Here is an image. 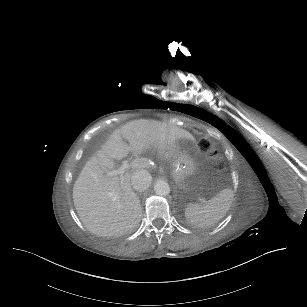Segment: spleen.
<instances>
[{
    "instance_id": "spleen-1",
    "label": "spleen",
    "mask_w": 307,
    "mask_h": 307,
    "mask_svg": "<svg viewBox=\"0 0 307 307\" xmlns=\"http://www.w3.org/2000/svg\"><path fill=\"white\" fill-rule=\"evenodd\" d=\"M233 200V191L225 188L206 202L189 204L185 215L189 222L198 227H210L222 219L229 210Z\"/></svg>"
}]
</instances>
